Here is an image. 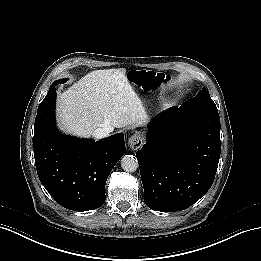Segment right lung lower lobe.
Returning <instances> with one entry per match:
<instances>
[{
  "instance_id": "obj_1",
  "label": "right lung lower lobe",
  "mask_w": 261,
  "mask_h": 261,
  "mask_svg": "<svg viewBox=\"0 0 261 261\" xmlns=\"http://www.w3.org/2000/svg\"><path fill=\"white\" fill-rule=\"evenodd\" d=\"M55 86L40 103L35 119L34 156L38 177L61 206L93 210L105 202L106 180L125 152L124 135L79 140L61 134L55 124Z\"/></svg>"
}]
</instances>
